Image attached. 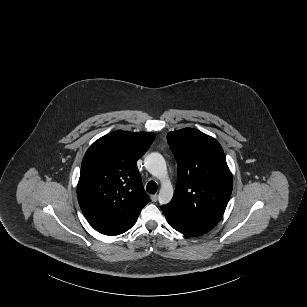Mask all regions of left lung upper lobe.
Instances as JSON below:
<instances>
[{
  "mask_svg": "<svg viewBox=\"0 0 307 307\" xmlns=\"http://www.w3.org/2000/svg\"><path fill=\"white\" fill-rule=\"evenodd\" d=\"M167 141L178 163L173 198L163 205L206 232L221 219L232 192V174L221 145L197 129L169 132Z\"/></svg>",
  "mask_w": 307,
  "mask_h": 307,
  "instance_id": "left-lung-upper-lobe-1",
  "label": "left lung upper lobe"
}]
</instances>
